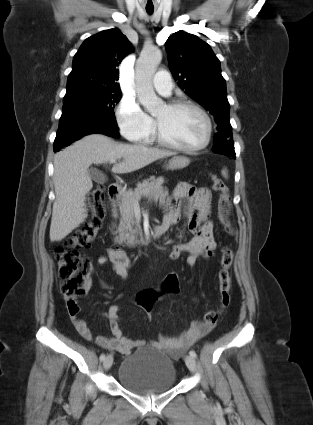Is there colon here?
<instances>
[{"label": "colon", "mask_w": 313, "mask_h": 425, "mask_svg": "<svg viewBox=\"0 0 313 425\" xmlns=\"http://www.w3.org/2000/svg\"><path fill=\"white\" fill-rule=\"evenodd\" d=\"M213 188L219 194L218 213L225 231L232 235L234 228L229 220L230 196L228 187L224 181L212 175ZM92 213L86 223L74 231L65 243L55 249V257L58 265V273L62 280V294L68 305L75 309L76 300L87 291L88 280L92 267L90 260L80 253L81 249L87 248L96 239L104 219V189L97 186L91 192ZM205 257H213V249L208 248L204 252ZM233 262V253L229 246L221 248L220 269L218 272V284L220 292V306L217 310H210L204 316V323L214 327L219 321L223 311L231 301V276L230 268ZM181 290V282L176 274L168 275L158 289H148L137 296V304L149 315L154 308L155 302L164 296L177 295Z\"/></svg>", "instance_id": "obj_1"}]
</instances>
